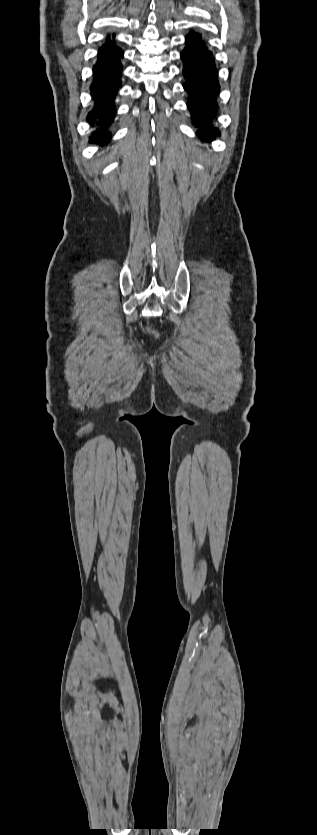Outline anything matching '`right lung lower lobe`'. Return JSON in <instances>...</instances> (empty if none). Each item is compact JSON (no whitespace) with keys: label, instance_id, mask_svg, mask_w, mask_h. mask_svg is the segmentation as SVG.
<instances>
[{"label":"right lung lower lobe","instance_id":"right-lung-lower-lobe-1","mask_svg":"<svg viewBox=\"0 0 317 835\" xmlns=\"http://www.w3.org/2000/svg\"><path fill=\"white\" fill-rule=\"evenodd\" d=\"M121 58L123 51L110 42L108 37L106 43L99 48L97 63L93 66L94 77L90 89L94 106L87 116V121L95 130L89 138L90 141L103 144L111 138L107 128L115 117L114 101L121 87L123 70Z\"/></svg>","mask_w":317,"mask_h":835}]
</instances>
